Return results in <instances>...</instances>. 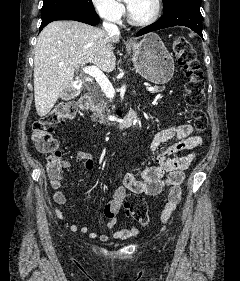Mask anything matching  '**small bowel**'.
I'll return each mask as SVG.
<instances>
[{"label": "small bowel", "instance_id": "c3829d8e", "mask_svg": "<svg viewBox=\"0 0 240 281\" xmlns=\"http://www.w3.org/2000/svg\"><path fill=\"white\" fill-rule=\"evenodd\" d=\"M202 143V137L193 134V127L190 124L170 126L158 132L150 145L151 151L156 154L155 164L142 170H132L126 173L121 185L114 191L112 199L105 204L103 213L108 221L107 227L112 228L117 222L118 213L127 192L156 196L166 187H170L167 203L161 213L162 221H167L181 200V184L185 178V171L194 159V150ZM183 151L191 152L187 155H180ZM75 160L87 170L94 168V159L89 152L79 151ZM69 167L70 164L62 160L59 173L56 175L49 173L50 185L55 189L54 201L62 206L66 204V197L59 190L63 180L61 169H68ZM55 215L61 220L65 219L59 209H55ZM70 230L72 232L89 233L91 238H99L102 241L109 238L107 235L89 232L86 225L79 227L73 224L70 225ZM137 235L138 229L131 227L115 231L112 237L114 239H128Z\"/></svg>", "mask_w": 240, "mask_h": 281}]
</instances>
